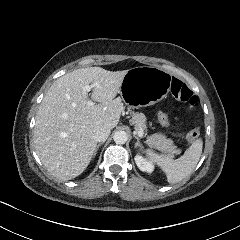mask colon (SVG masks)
<instances>
[{
  "label": "colon",
  "instance_id": "5ec220e1",
  "mask_svg": "<svg viewBox=\"0 0 240 240\" xmlns=\"http://www.w3.org/2000/svg\"><path fill=\"white\" fill-rule=\"evenodd\" d=\"M175 95L183 102H188L189 105H193L197 98L194 95L193 91L188 88L186 85H180L175 90ZM158 122H162V124H167V113H163V110H158ZM169 122V121H168ZM198 138V129L194 128L193 132L190 135L186 136V144L190 145L191 141H195Z\"/></svg>",
  "mask_w": 240,
  "mask_h": 240
}]
</instances>
